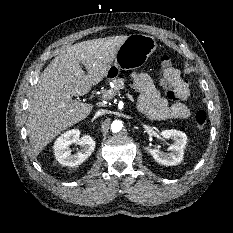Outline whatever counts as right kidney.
I'll return each mask as SVG.
<instances>
[{"instance_id": "ca27d5eb", "label": "right kidney", "mask_w": 233, "mask_h": 233, "mask_svg": "<svg viewBox=\"0 0 233 233\" xmlns=\"http://www.w3.org/2000/svg\"><path fill=\"white\" fill-rule=\"evenodd\" d=\"M76 143L82 148L71 154L70 145ZM95 141L89 135L80 137L78 129H72L62 134L54 143V155L57 161L65 166H77L83 163L94 151Z\"/></svg>"}]
</instances>
